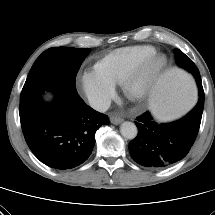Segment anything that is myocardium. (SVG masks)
Returning <instances> with one entry per match:
<instances>
[{
    "instance_id": "f54148a6",
    "label": "myocardium",
    "mask_w": 215,
    "mask_h": 215,
    "mask_svg": "<svg viewBox=\"0 0 215 215\" xmlns=\"http://www.w3.org/2000/svg\"><path fill=\"white\" fill-rule=\"evenodd\" d=\"M167 67L163 55L153 54L135 65L120 83L123 94L133 102L146 99Z\"/></svg>"
}]
</instances>
